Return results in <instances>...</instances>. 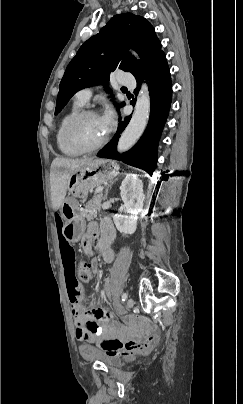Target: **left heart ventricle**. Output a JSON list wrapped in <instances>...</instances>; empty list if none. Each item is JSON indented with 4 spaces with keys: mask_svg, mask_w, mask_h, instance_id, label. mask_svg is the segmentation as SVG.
<instances>
[{
    "mask_svg": "<svg viewBox=\"0 0 243 404\" xmlns=\"http://www.w3.org/2000/svg\"><path fill=\"white\" fill-rule=\"evenodd\" d=\"M72 134L77 140L88 146L97 144L105 137L99 117L95 116L85 117L76 123Z\"/></svg>",
    "mask_w": 243,
    "mask_h": 404,
    "instance_id": "left-heart-ventricle-1",
    "label": "left heart ventricle"
}]
</instances>
